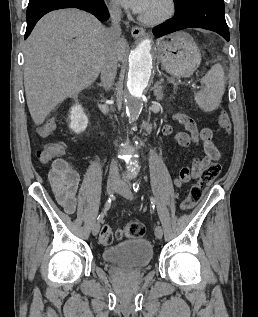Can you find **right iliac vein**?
Returning a JSON list of instances; mask_svg holds the SVG:
<instances>
[{"label": "right iliac vein", "instance_id": "63e3f726", "mask_svg": "<svg viewBox=\"0 0 258 317\" xmlns=\"http://www.w3.org/2000/svg\"><path fill=\"white\" fill-rule=\"evenodd\" d=\"M120 185V180L119 179H109L107 184H106V190L108 192V195H111V192H114L117 186ZM92 231H93V236H98L99 233V228L101 227L100 224L94 223L92 226Z\"/></svg>", "mask_w": 258, "mask_h": 317}]
</instances>
